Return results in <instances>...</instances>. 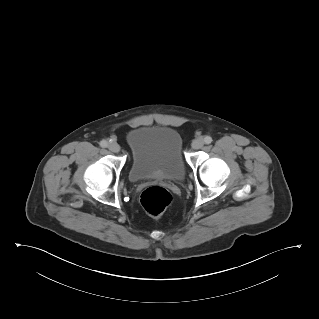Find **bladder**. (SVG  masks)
<instances>
[{"instance_id": "obj_1", "label": "bladder", "mask_w": 319, "mask_h": 319, "mask_svg": "<svg viewBox=\"0 0 319 319\" xmlns=\"http://www.w3.org/2000/svg\"><path fill=\"white\" fill-rule=\"evenodd\" d=\"M131 153L128 176L131 182L149 178L180 181L186 175L182 138L169 127L142 126L126 136Z\"/></svg>"}]
</instances>
